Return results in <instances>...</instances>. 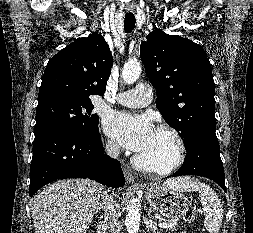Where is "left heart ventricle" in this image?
Here are the masks:
<instances>
[{
	"label": "left heart ventricle",
	"mask_w": 253,
	"mask_h": 233,
	"mask_svg": "<svg viewBox=\"0 0 253 233\" xmlns=\"http://www.w3.org/2000/svg\"><path fill=\"white\" fill-rule=\"evenodd\" d=\"M177 154L174 140L166 133L154 130L151 139L137 155L148 163L167 165Z\"/></svg>",
	"instance_id": "obj_1"
}]
</instances>
